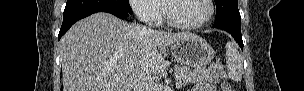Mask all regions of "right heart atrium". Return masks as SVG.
<instances>
[{"label":"right heart atrium","instance_id":"1","mask_svg":"<svg viewBox=\"0 0 304 91\" xmlns=\"http://www.w3.org/2000/svg\"><path fill=\"white\" fill-rule=\"evenodd\" d=\"M130 4L135 14L144 22L155 24L161 21V10L156 0H132Z\"/></svg>","mask_w":304,"mask_h":91}]
</instances>
